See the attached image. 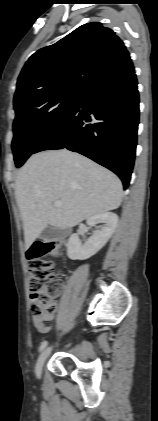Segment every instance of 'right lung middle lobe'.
<instances>
[{
  "mask_svg": "<svg viewBox=\"0 0 158 421\" xmlns=\"http://www.w3.org/2000/svg\"><path fill=\"white\" fill-rule=\"evenodd\" d=\"M84 86L59 87L30 95L16 104L12 150L20 167L67 116L80 98Z\"/></svg>",
  "mask_w": 158,
  "mask_h": 421,
  "instance_id": "dd1d6c3e",
  "label": "right lung middle lobe"
}]
</instances>
